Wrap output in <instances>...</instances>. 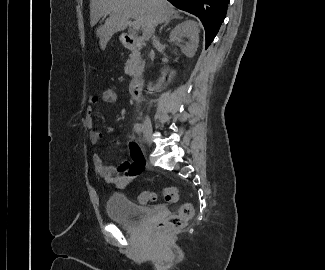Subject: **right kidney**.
Here are the masks:
<instances>
[{
	"label": "right kidney",
	"mask_w": 325,
	"mask_h": 270,
	"mask_svg": "<svg viewBox=\"0 0 325 270\" xmlns=\"http://www.w3.org/2000/svg\"><path fill=\"white\" fill-rule=\"evenodd\" d=\"M170 40L173 43L171 50L175 57L173 62L179 63L184 58H192L198 48L199 43V28L194 21H185L176 26L170 33ZM170 75L176 73L175 69L167 68Z\"/></svg>",
	"instance_id": "ca27d5eb"
}]
</instances>
